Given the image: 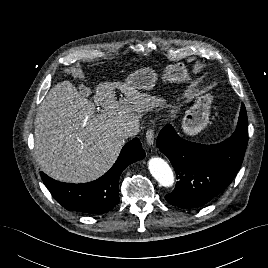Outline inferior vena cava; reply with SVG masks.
Segmentation results:
<instances>
[{"label":"inferior vena cava","instance_id":"obj_1","mask_svg":"<svg viewBox=\"0 0 268 268\" xmlns=\"http://www.w3.org/2000/svg\"><path fill=\"white\" fill-rule=\"evenodd\" d=\"M138 132H139V125H135V126L128 127L125 130L121 131L119 133V136L122 138L133 137L137 135Z\"/></svg>","mask_w":268,"mask_h":268}]
</instances>
